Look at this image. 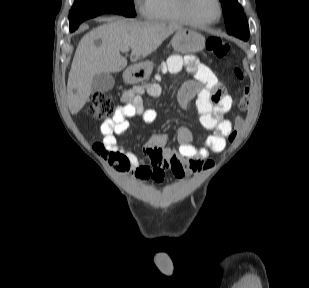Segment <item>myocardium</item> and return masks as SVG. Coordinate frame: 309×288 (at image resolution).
I'll use <instances>...</instances> for the list:
<instances>
[{
	"label": "myocardium",
	"instance_id": "obj_1",
	"mask_svg": "<svg viewBox=\"0 0 309 288\" xmlns=\"http://www.w3.org/2000/svg\"><path fill=\"white\" fill-rule=\"evenodd\" d=\"M216 2L218 5V11H219L218 16L215 20L206 21V22L200 21L193 16L191 9H190V0H179V6H180V10L182 14L184 15L188 23H190L191 25L195 27H208V26H212L220 22L224 14V8H223L222 1L216 0Z\"/></svg>",
	"mask_w": 309,
	"mask_h": 288
}]
</instances>
